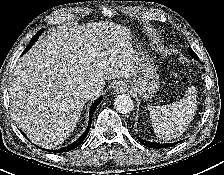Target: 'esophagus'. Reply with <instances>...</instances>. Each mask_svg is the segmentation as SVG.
<instances>
[{
    "label": "esophagus",
    "mask_w": 224,
    "mask_h": 175,
    "mask_svg": "<svg viewBox=\"0 0 224 175\" xmlns=\"http://www.w3.org/2000/svg\"><path fill=\"white\" fill-rule=\"evenodd\" d=\"M122 89H123V88H122V87H119V86H115V87H114V91H115V92L122 91Z\"/></svg>",
    "instance_id": "1"
}]
</instances>
